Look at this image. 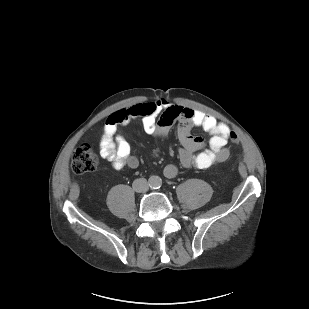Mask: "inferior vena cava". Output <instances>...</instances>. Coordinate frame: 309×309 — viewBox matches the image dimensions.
Listing matches in <instances>:
<instances>
[{"label": "inferior vena cava", "instance_id": "obj_1", "mask_svg": "<svg viewBox=\"0 0 309 309\" xmlns=\"http://www.w3.org/2000/svg\"><path fill=\"white\" fill-rule=\"evenodd\" d=\"M132 186L136 192H146L149 188L148 182L145 178L135 179Z\"/></svg>", "mask_w": 309, "mask_h": 309}]
</instances>
